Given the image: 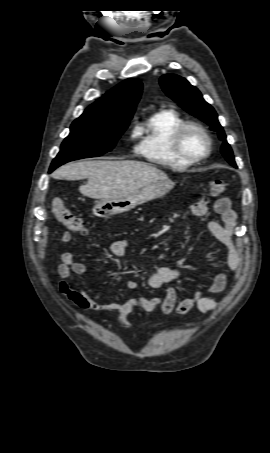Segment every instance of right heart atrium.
<instances>
[{"label": "right heart atrium", "instance_id": "d8ad5b80", "mask_svg": "<svg viewBox=\"0 0 270 453\" xmlns=\"http://www.w3.org/2000/svg\"><path fill=\"white\" fill-rule=\"evenodd\" d=\"M137 133V130L134 131V134Z\"/></svg>", "mask_w": 270, "mask_h": 453}]
</instances>
